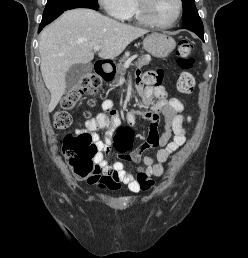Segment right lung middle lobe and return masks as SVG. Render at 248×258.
<instances>
[{
	"mask_svg": "<svg viewBox=\"0 0 248 258\" xmlns=\"http://www.w3.org/2000/svg\"><path fill=\"white\" fill-rule=\"evenodd\" d=\"M82 5H88L95 8L99 7L97 0H48L43 12L42 20Z\"/></svg>",
	"mask_w": 248,
	"mask_h": 258,
	"instance_id": "1",
	"label": "right lung middle lobe"
}]
</instances>
